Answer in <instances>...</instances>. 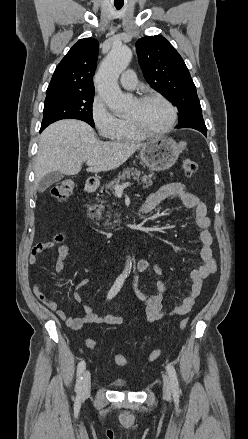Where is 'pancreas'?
I'll return each instance as SVG.
<instances>
[{
  "mask_svg": "<svg viewBox=\"0 0 248 439\" xmlns=\"http://www.w3.org/2000/svg\"><path fill=\"white\" fill-rule=\"evenodd\" d=\"M153 176H154L153 173H151L149 175H141V172L138 171L137 169L128 168V169H125L122 173H120L117 178H114L112 181H110L109 183H107L106 185L101 187V189L102 190L105 189V192L109 193L108 190L112 191L113 188L115 186H117L121 181L129 179L130 177H133V179L137 180V181H139V179L141 178V183H143L144 188H147V187L152 185ZM119 216H120L119 214H115V217H119ZM118 222H119V220H115L114 224H116ZM111 225L112 224L109 221H106L104 224L105 227H109Z\"/></svg>",
  "mask_w": 248,
  "mask_h": 439,
  "instance_id": "1",
  "label": "pancreas"
}]
</instances>
